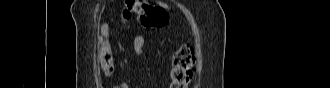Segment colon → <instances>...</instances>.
Returning a JSON list of instances; mask_svg holds the SVG:
<instances>
[{"label":"colon","mask_w":330,"mask_h":88,"mask_svg":"<svg viewBox=\"0 0 330 88\" xmlns=\"http://www.w3.org/2000/svg\"><path fill=\"white\" fill-rule=\"evenodd\" d=\"M145 28L156 29L163 27L167 22L164 11L149 5L142 0L126 2L120 9V18L127 23L132 16ZM100 61L103 72L110 75L113 70L111 48L104 43L100 48ZM195 64L194 49L190 45H182L174 53L171 69V88H187L193 78Z\"/></svg>","instance_id":"5ec220e1"}]
</instances>
